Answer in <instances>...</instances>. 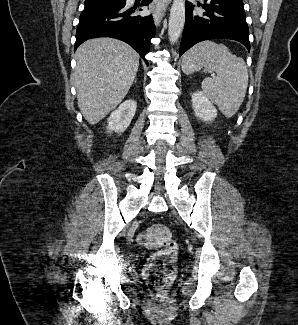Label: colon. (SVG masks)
<instances>
[{
  "mask_svg": "<svg viewBox=\"0 0 298 325\" xmlns=\"http://www.w3.org/2000/svg\"><path fill=\"white\" fill-rule=\"evenodd\" d=\"M138 242L156 250L146 262L143 276L151 293L158 298H164L175 277L177 244L169 229L162 224L146 229L139 235Z\"/></svg>",
  "mask_w": 298,
  "mask_h": 325,
  "instance_id": "colon-1",
  "label": "colon"
}]
</instances>
